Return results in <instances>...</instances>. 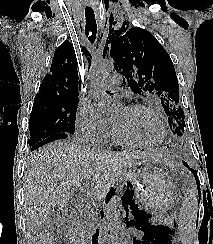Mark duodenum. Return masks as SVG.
Listing matches in <instances>:
<instances>
[{
	"instance_id": "410a0bca",
	"label": "duodenum",
	"mask_w": 213,
	"mask_h": 244,
	"mask_svg": "<svg viewBox=\"0 0 213 244\" xmlns=\"http://www.w3.org/2000/svg\"><path fill=\"white\" fill-rule=\"evenodd\" d=\"M91 244H105V237L101 229L92 232Z\"/></svg>"
}]
</instances>
